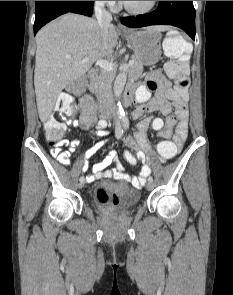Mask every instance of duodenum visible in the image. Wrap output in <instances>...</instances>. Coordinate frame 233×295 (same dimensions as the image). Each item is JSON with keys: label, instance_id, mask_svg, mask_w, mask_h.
Masks as SVG:
<instances>
[{"label": "duodenum", "instance_id": "obj_1", "mask_svg": "<svg viewBox=\"0 0 233 295\" xmlns=\"http://www.w3.org/2000/svg\"><path fill=\"white\" fill-rule=\"evenodd\" d=\"M88 75L91 79H94L97 75V71L95 69H92L89 71ZM133 94H134V90L131 87L127 88V90H126L127 98L131 99L133 97ZM99 114L102 118H107L109 116V109H108L107 101L104 98H102L100 100Z\"/></svg>", "mask_w": 233, "mask_h": 295}]
</instances>
